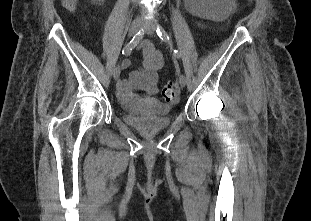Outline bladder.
I'll return each instance as SVG.
<instances>
[{"label":"bladder","mask_w":311,"mask_h":221,"mask_svg":"<svg viewBox=\"0 0 311 221\" xmlns=\"http://www.w3.org/2000/svg\"><path fill=\"white\" fill-rule=\"evenodd\" d=\"M125 115L123 123L142 135H154L168 129L172 124V106L157 97H149L137 104L122 103Z\"/></svg>","instance_id":"obj_1"}]
</instances>
